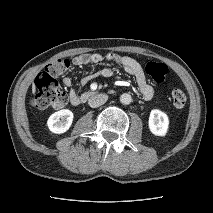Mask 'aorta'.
I'll return each instance as SVG.
<instances>
[{"label":"aorta","mask_w":213,"mask_h":213,"mask_svg":"<svg viewBox=\"0 0 213 213\" xmlns=\"http://www.w3.org/2000/svg\"><path fill=\"white\" fill-rule=\"evenodd\" d=\"M120 102L124 105H128L132 102V97L130 94L128 93H123L121 96H120Z\"/></svg>","instance_id":"aorta-1"}]
</instances>
